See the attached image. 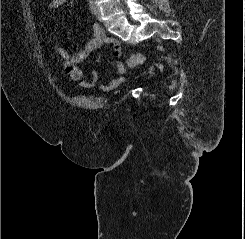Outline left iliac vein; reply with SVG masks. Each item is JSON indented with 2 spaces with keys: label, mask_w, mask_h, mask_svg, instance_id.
<instances>
[{
  "label": "left iliac vein",
  "mask_w": 245,
  "mask_h": 239,
  "mask_svg": "<svg viewBox=\"0 0 245 239\" xmlns=\"http://www.w3.org/2000/svg\"><path fill=\"white\" fill-rule=\"evenodd\" d=\"M95 12H96V17L99 21H101V12L100 9L98 7V5L95 4Z\"/></svg>",
  "instance_id": "obj_1"
}]
</instances>
